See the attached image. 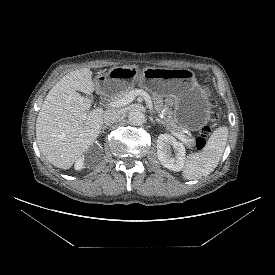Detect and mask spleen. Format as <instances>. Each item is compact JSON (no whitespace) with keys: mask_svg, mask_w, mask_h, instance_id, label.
Returning <instances> with one entry per match:
<instances>
[{"mask_svg":"<svg viewBox=\"0 0 275 275\" xmlns=\"http://www.w3.org/2000/svg\"><path fill=\"white\" fill-rule=\"evenodd\" d=\"M227 139L228 128H217L201 152L188 155L182 172L183 177L194 180L212 173L223 155Z\"/></svg>","mask_w":275,"mask_h":275,"instance_id":"3e777b00","label":"spleen"}]
</instances>
